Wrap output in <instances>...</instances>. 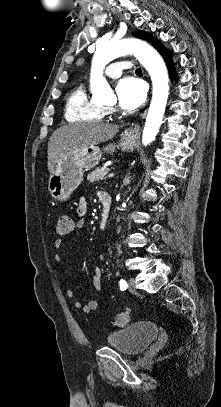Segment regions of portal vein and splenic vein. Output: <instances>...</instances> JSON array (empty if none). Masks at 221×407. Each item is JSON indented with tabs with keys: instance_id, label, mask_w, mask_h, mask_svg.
<instances>
[{
	"instance_id": "1",
	"label": "portal vein and splenic vein",
	"mask_w": 221,
	"mask_h": 407,
	"mask_svg": "<svg viewBox=\"0 0 221 407\" xmlns=\"http://www.w3.org/2000/svg\"><path fill=\"white\" fill-rule=\"evenodd\" d=\"M115 174L114 173H110V174H108V178H112L113 176H114Z\"/></svg>"
}]
</instances>
